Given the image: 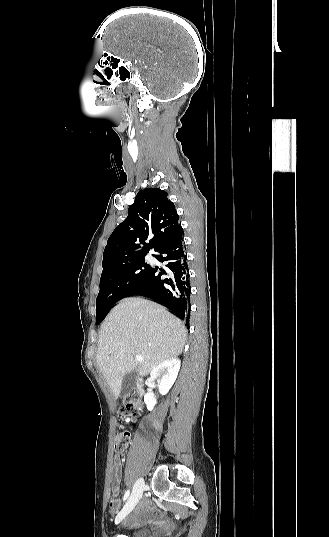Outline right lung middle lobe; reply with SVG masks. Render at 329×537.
Wrapping results in <instances>:
<instances>
[{"label":"right lung middle lobe","instance_id":"dd1d6c3e","mask_svg":"<svg viewBox=\"0 0 329 537\" xmlns=\"http://www.w3.org/2000/svg\"><path fill=\"white\" fill-rule=\"evenodd\" d=\"M150 265L144 257L136 258L125 264L104 267L100 278V291L96 299V323L99 324L108 310L143 277Z\"/></svg>","mask_w":329,"mask_h":537}]
</instances>
